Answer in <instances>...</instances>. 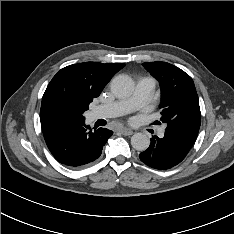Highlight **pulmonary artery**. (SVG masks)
Listing matches in <instances>:
<instances>
[{
	"label": "pulmonary artery",
	"mask_w": 234,
	"mask_h": 234,
	"mask_svg": "<svg viewBox=\"0 0 234 234\" xmlns=\"http://www.w3.org/2000/svg\"><path fill=\"white\" fill-rule=\"evenodd\" d=\"M154 88L155 80L151 77H143L137 82L136 90L130 98L97 107L92 111L91 119L97 120L124 115L146 104L150 100ZM163 133V129L158 131L159 136H163Z\"/></svg>",
	"instance_id": "e3ab8cb5"
}]
</instances>
